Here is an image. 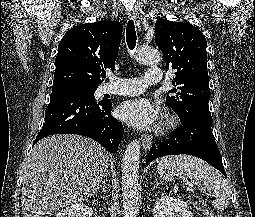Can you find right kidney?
I'll list each match as a JSON object with an SVG mask.
<instances>
[{"label":"right kidney","mask_w":255,"mask_h":217,"mask_svg":"<svg viewBox=\"0 0 255 217\" xmlns=\"http://www.w3.org/2000/svg\"><path fill=\"white\" fill-rule=\"evenodd\" d=\"M92 213V208L83 203H78L65 208L56 217H90Z\"/></svg>","instance_id":"ca27d5eb"}]
</instances>
